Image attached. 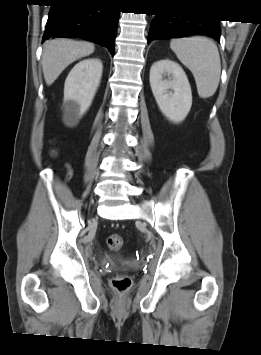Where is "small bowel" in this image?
Here are the masks:
<instances>
[{"label": "small bowel", "instance_id": "obj_1", "mask_svg": "<svg viewBox=\"0 0 261 355\" xmlns=\"http://www.w3.org/2000/svg\"><path fill=\"white\" fill-rule=\"evenodd\" d=\"M66 169H67V173H68V172H71V173H72V169H71L70 165L66 164Z\"/></svg>", "mask_w": 261, "mask_h": 355}]
</instances>
